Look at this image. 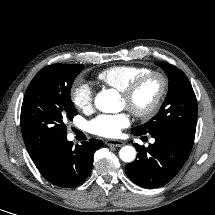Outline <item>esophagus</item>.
<instances>
[{
    "mask_svg": "<svg viewBox=\"0 0 215 215\" xmlns=\"http://www.w3.org/2000/svg\"><path fill=\"white\" fill-rule=\"evenodd\" d=\"M105 144L108 146H116V147H121L124 145L123 141L120 140H112V139H108L105 141Z\"/></svg>",
    "mask_w": 215,
    "mask_h": 215,
    "instance_id": "esophagus-1",
    "label": "esophagus"
}]
</instances>
